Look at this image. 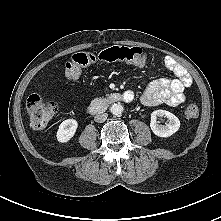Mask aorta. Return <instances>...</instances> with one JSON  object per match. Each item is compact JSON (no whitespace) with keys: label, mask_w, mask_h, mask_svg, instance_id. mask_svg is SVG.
Returning a JSON list of instances; mask_svg holds the SVG:
<instances>
[{"label":"aorta","mask_w":221,"mask_h":221,"mask_svg":"<svg viewBox=\"0 0 221 221\" xmlns=\"http://www.w3.org/2000/svg\"><path fill=\"white\" fill-rule=\"evenodd\" d=\"M124 108L120 103H115L110 107V112L113 115H120L123 112Z\"/></svg>","instance_id":"762f6f07"}]
</instances>
